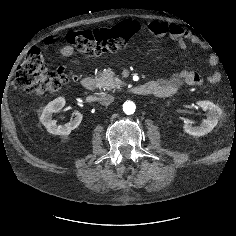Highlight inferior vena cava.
<instances>
[{
  "label": "inferior vena cava",
  "instance_id": "inferior-vena-cava-1",
  "mask_svg": "<svg viewBox=\"0 0 236 236\" xmlns=\"http://www.w3.org/2000/svg\"><path fill=\"white\" fill-rule=\"evenodd\" d=\"M113 101H114V97L110 94L104 93V94L100 95V97H99V102L102 105H106V106L110 105Z\"/></svg>",
  "mask_w": 236,
  "mask_h": 236
}]
</instances>
